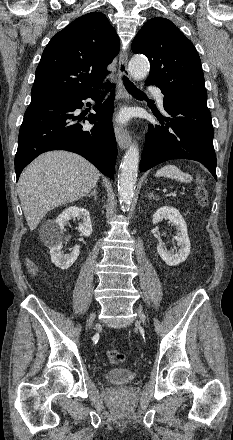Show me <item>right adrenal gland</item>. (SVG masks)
<instances>
[{
    "label": "right adrenal gland",
    "instance_id": "right-adrenal-gland-1",
    "mask_svg": "<svg viewBox=\"0 0 233 440\" xmlns=\"http://www.w3.org/2000/svg\"><path fill=\"white\" fill-rule=\"evenodd\" d=\"M93 196L97 200V186L94 187L93 191L88 195V197Z\"/></svg>",
    "mask_w": 233,
    "mask_h": 440
}]
</instances>
